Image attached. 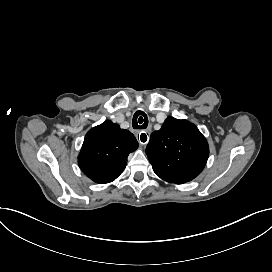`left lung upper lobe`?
Listing matches in <instances>:
<instances>
[{
	"label": "left lung upper lobe",
	"instance_id": "5c2ea615",
	"mask_svg": "<svg viewBox=\"0 0 272 272\" xmlns=\"http://www.w3.org/2000/svg\"><path fill=\"white\" fill-rule=\"evenodd\" d=\"M146 154L161 179L183 184L201 173L209 146L194 124L168 117L161 129L151 134Z\"/></svg>",
	"mask_w": 272,
	"mask_h": 272
}]
</instances>
